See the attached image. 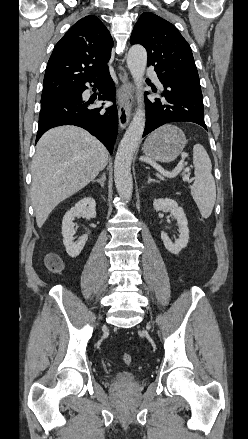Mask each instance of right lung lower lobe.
I'll return each instance as SVG.
<instances>
[{
  "instance_id": "obj_1",
  "label": "right lung lower lobe",
  "mask_w": 248,
  "mask_h": 439,
  "mask_svg": "<svg viewBox=\"0 0 248 439\" xmlns=\"http://www.w3.org/2000/svg\"><path fill=\"white\" fill-rule=\"evenodd\" d=\"M86 82L99 89V100L115 102V85L107 69ZM84 82L78 87L41 103L36 142L49 129L61 125H76L97 137L112 154L118 132V113L115 104L108 108L92 106L82 93Z\"/></svg>"
}]
</instances>
